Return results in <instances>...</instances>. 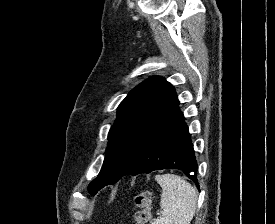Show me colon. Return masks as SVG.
I'll return each instance as SVG.
<instances>
[{"mask_svg":"<svg viewBox=\"0 0 275 224\" xmlns=\"http://www.w3.org/2000/svg\"><path fill=\"white\" fill-rule=\"evenodd\" d=\"M152 194L148 191L139 192L135 197V204L139 211L135 216L136 224H145L150 219Z\"/></svg>","mask_w":275,"mask_h":224,"instance_id":"1","label":"colon"}]
</instances>
